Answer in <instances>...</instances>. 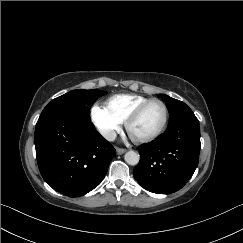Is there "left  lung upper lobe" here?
I'll list each match as a JSON object with an SVG mask.
<instances>
[{"instance_id": "left-lung-upper-lobe-1", "label": "left lung upper lobe", "mask_w": 243, "mask_h": 243, "mask_svg": "<svg viewBox=\"0 0 243 243\" xmlns=\"http://www.w3.org/2000/svg\"><path fill=\"white\" fill-rule=\"evenodd\" d=\"M158 97L162 98L169 111L170 120L168 126L177 123L179 120L189 115H194L192 110L182 101L171 98L165 94H157Z\"/></svg>"}]
</instances>
